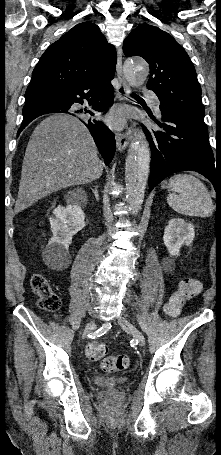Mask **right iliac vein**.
I'll list each match as a JSON object with an SVG mask.
<instances>
[{
  "mask_svg": "<svg viewBox=\"0 0 221 455\" xmlns=\"http://www.w3.org/2000/svg\"><path fill=\"white\" fill-rule=\"evenodd\" d=\"M95 328H96V323L94 321L89 322L84 329V335L90 333Z\"/></svg>",
  "mask_w": 221,
  "mask_h": 455,
  "instance_id": "1",
  "label": "right iliac vein"
}]
</instances>
